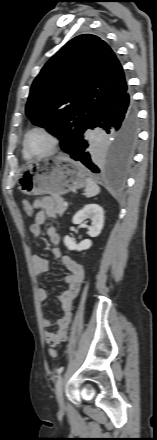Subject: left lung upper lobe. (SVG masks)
<instances>
[{
	"mask_svg": "<svg viewBox=\"0 0 157 440\" xmlns=\"http://www.w3.org/2000/svg\"><path fill=\"white\" fill-rule=\"evenodd\" d=\"M127 88L123 68L109 45L95 35H79L35 78L26 115L33 124L46 126L68 152L96 111Z\"/></svg>",
	"mask_w": 157,
	"mask_h": 440,
	"instance_id": "5c2ea615",
	"label": "left lung upper lobe"
}]
</instances>
